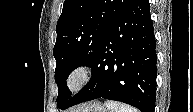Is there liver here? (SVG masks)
Returning <instances> with one entry per match:
<instances>
[{
  "instance_id": "liver-1",
  "label": "liver",
  "mask_w": 193,
  "mask_h": 112,
  "mask_svg": "<svg viewBox=\"0 0 193 112\" xmlns=\"http://www.w3.org/2000/svg\"><path fill=\"white\" fill-rule=\"evenodd\" d=\"M80 108H78V109H73V111H76V110H79Z\"/></svg>"
}]
</instances>
